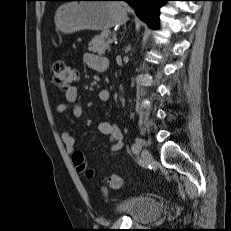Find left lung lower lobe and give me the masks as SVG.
<instances>
[{
  "instance_id": "left-lung-lower-lobe-1",
  "label": "left lung lower lobe",
  "mask_w": 231,
  "mask_h": 231,
  "mask_svg": "<svg viewBox=\"0 0 231 231\" xmlns=\"http://www.w3.org/2000/svg\"><path fill=\"white\" fill-rule=\"evenodd\" d=\"M68 1V0H59ZM134 7L136 14L151 28H158V16L161 3L169 0H120Z\"/></svg>"
}]
</instances>
